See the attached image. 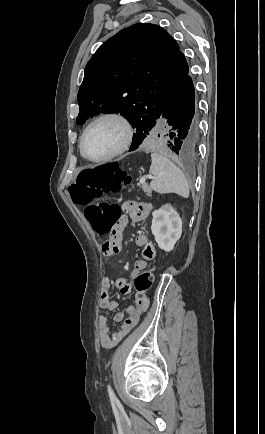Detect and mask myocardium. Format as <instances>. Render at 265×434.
Returning a JSON list of instances; mask_svg holds the SVG:
<instances>
[{
    "label": "myocardium",
    "instance_id": "1",
    "mask_svg": "<svg viewBox=\"0 0 265 434\" xmlns=\"http://www.w3.org/2000/svg\"><path fill=\"white\" fill-rule=\"evenodd\" d=\"M104 120H114V121H117L118 123H120L122 125V127H123L122 143L120 144V146L116 150H114L111 154H109L106 157H103L100 159L89 158L85 155V153L83 151V143H84L85 137L88 134V132L96 124H98ZM133 138H134V128H133L131 121L129 120V118L127 116H125L123 113L117 112V111L104 112V113L96 116L92 121H90L87 124V126L85 127V129L83 130L81 137L79 139V144H78L79 154L85 161H87L89 163L103 164V163L109 162V161L117 158L118 156L123 154L125 151H127L133 142Z\"/></svg>",
    "mask_w": 265,
    "mask_h": 434
}]
</instances>
